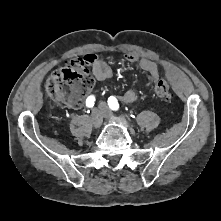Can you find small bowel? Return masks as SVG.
Wrapping results in <instances>:
<instances>
[{
    "label": "small bowel",
    "mask_w": 221,
    "mask_h": 221,
    "mask_svg": "<svg viewBox=\"0 0 221 221\" xmlns=\"http://www.w3.org/2000/svg\"><path fill=\"white\" fill-rule=\"evenodd\" d=\"M91 66L94 76L99 81H106L112 77V69L110 66L95 54H87L84 57ZM126 60L130 63H138L140 68L149 75L147 85L150 86L159 79V67L156 62L139 58L135 53H127ZM137 93L134 90H128L122 97V101L127 104H133L137 101Z\"/></svg>",
    "instance_id": "obj_1"
}]
</instances>
